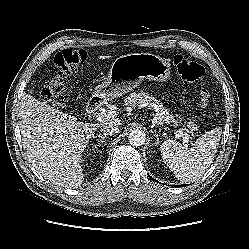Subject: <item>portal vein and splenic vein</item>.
I'll return each mask as SVG.
<instances>
[{"label": "portal vein and splenic vein", "mask_w": 249, "mask_h": 249, "mask_svg": "<svg viewBox=\"0 0 249 249\" xmlns=\"http://www.w3.org/2000/svg\"><path fill=\"white\" fill-rule=\"evenodd\" d=\"M115 116V112L114 111H110V110H104L102 111L101 113H98L97 115V120L99 122H104L105 120H109L111 118H113ZM177 134L183 138V144L184 146H188V142H189V139H191L190 135H188L187 133L185 132H182L180 130L177 131Z\"/></svg>", "instance_id": "1"}]
</instances>
